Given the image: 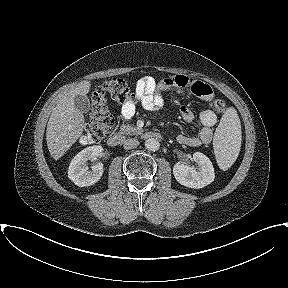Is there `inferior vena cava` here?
Listing matches in <instances>:
<instances>
[{"label":"inferior vena cava","instance_id":"inferior-vena-cava-1","mask_svg":"<svg viewBox=\"0 0 288 288\" xmlns=\"http://www.w3.org/2000/svg\"><path fill=\"white\" fill-rule=\"evenodd\" d=\"M139 145L138 139L135 138H128L124 141V149L129 150L136 148Z\"/></svg>","mask_w":288,"mask_h":288}]
</instances>
